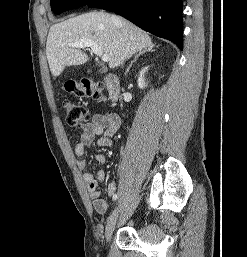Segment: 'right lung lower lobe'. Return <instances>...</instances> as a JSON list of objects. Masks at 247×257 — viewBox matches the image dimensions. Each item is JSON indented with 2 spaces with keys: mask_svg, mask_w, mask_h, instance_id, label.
<instances>
[{
  "mask_svg": "<svg viewBox=\"0 0 247 257\" xmlns=\"http://www.w3.org/2000/svg\"><path fill=\"white\" fill-rule=\"evenodd\" d=\"M88 6L113 11L183 49L182 0H94Z\"/></svg>",
  "mask_w": 247,
  "mask_h": 257,
  "instance_id": "obj_1",
  "label": "right lung lower lobe"
}]
</instances>
